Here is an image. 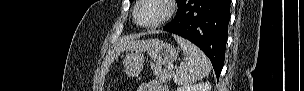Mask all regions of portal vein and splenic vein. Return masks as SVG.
Returning a JSON list of instances; mask_svg holds the SVG:
<instances>
[{"label":"portal vein and splenic vein","instance_id":"portal-vein-and-splenic-vein-1","mask_svg":"<svg viewBox=\"0 0 304 91\" xmlns=\"http://www.w3.org/2000/svg\"><path fill=\"white\" fill-rule=\"evenodd\" d=\"M168 68L172 70V69H173V66L171 65V66H169Z\"/></svg>","mask_w":304,"mask_h":91}]
</instances>
